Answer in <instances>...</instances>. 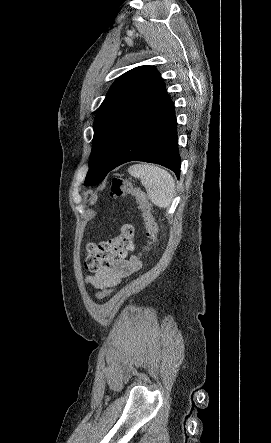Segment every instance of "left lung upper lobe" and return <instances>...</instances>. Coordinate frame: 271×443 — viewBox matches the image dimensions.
I'll list each match as a JSON object with an SVG mask.
<instances>
[{"instance_id": "5c2ea615", "label": "left lung upper lobe", "mask_w": 271, "mask_h": 443, "mask_svg": "<svg viewBox=\"0 0 271 443\" xmlns=\"http://www.w3.org/2000/svg\"><path fill=\"white\" fill-rule=\"evenodd\" d=\"M159 78L156 68L139 66L112 84L94 120L93 146L84 185L94 186L106 177L126 128Z\"/></svg>"}]
</instances>
